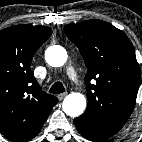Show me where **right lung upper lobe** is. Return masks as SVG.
<instances>
[{
    "label": "right lung upper lobe",
    "mask_w": 142,
    "mask_h": 142,
    "mask_svg": "<svg viewBox=\"0 0 142 142\" xmlns=\"http://www.w3.org/2000/svg\"><path fill=\"white\" fill-rule=\"evenodd\" d=\"M51 34L49 27L29 24L0 32V132L13 141L34 138L58 102L41 91L30 70L33 55Z\"/></svg>",
    "instance_id": "right-lung-upper-lobe-1"
}]
</instances>
